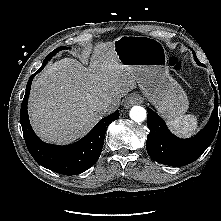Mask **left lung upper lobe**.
I'll return each mask as SVG.
<instances>
[{
  "instance_id": "obj_1",
  "label": "left lung upper lobe",
  "mask_w": 221,
  "mask_h": 221,
  "mask_svg": "<svg viewBox=\"0 0 221 221\" xmlns=\"http://www.w3.org/2000/svg\"><path fill=\"white\" fill-rule=\"evenodd\" d=\"M193 56H194L195 61H197L198 59H197L194 51H193Z\"/></svg>"
}]
</instances>
